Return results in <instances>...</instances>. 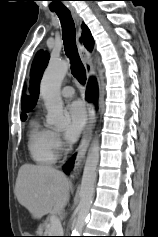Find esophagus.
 <instances>
[{"instance_id": "1", "label": "esophagus", "mask_w": 158, "mask_h": 237, "mask_svg": "<svg viewBox=\"0 0 158 237\" xmlns=\"http://www.w3.org/2000/svg\"><path fill=\"white\" fill-rule=\"evenodd\" d=\"M70 11H71V14H72L74 20L76 21V24L80 25L81 20L78 16L76 10L73 7H70ZM79 39H80V28L77 33L78 52H79L80 58L84 64V67L86 69L87 78L89 79L90 77H92L94 75V68L92 65V59H91L90 53L84 47V45L80 42ZM86 106H87V112H88V120H87V124L84 128V131H83L82 139H81L80 144L77 149V155H76V158L74 161V166H73L72 170L70 171V176L72 178H75L77 176V174L79 173V170L82 167L83 161L85 159V154H86L87 148L89 146V143H90V140L92 137V131H93L94 123H95L94 104L87 101Z\"/></svg>"}]
</instances>
